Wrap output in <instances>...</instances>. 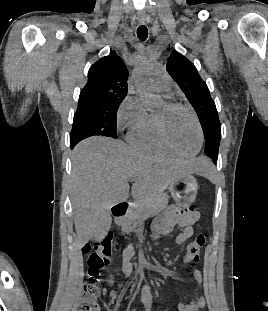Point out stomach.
Here are the masks:
<instances>
[{
    "label": "stomach",
    "instance_id": "0dacf381",
    "mask_svg": "<svg viewBox=\"0 0 268 311\" xmlns=\"http://www.w3.org/2000/svg\"><path fill=\"white\" fill-rule=\"evenodd\" d=\"M169 189L174 201L179 206H186L195 200L198 184L191 173H186L171 182Z\"/></svg>",
    "mask_w": 268,
    "mask_h": 311
}]
</instances>
